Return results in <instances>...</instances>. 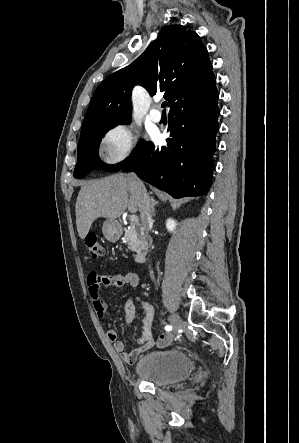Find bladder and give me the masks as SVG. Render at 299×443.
<instances>
[{"label": "bladder", "mask_w": 299, "mask_h": 443, "mask_svg": "<svg viewBox=\"0 0 299 443\" xmlns=\"http://www.w3.org/2000/svg\"><path fill=\"white\" fill-rule=\"evenodd\" d=\"M192 370L190 357L177 349L151 350L134 364L137 377L155 385H171L186 378Z\"/></svg>", "instance_id": "31cf9c89"}]
</instances>
